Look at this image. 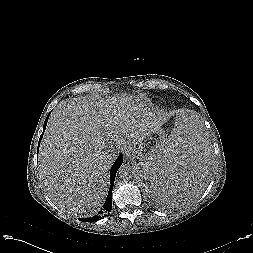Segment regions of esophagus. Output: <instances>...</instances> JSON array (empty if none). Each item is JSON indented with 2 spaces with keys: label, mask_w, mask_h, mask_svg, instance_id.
Returning <instances> with one entry per match:
<instances>
[{
  "label": "esophagus",
  "mask_w": 253,
  "mask_h": 253,
  "mask_svg": "<svg viewBox=\"0 0 253 253\" xmlns=\"http://www.w3.org/2000/svg\"><path fill=\"white\" fill-rule=\"evenodd\" d=\"M133 146L131 144H127L125 147H124V154L125 156L128 158L131 156V154L133 153Z\"/></svg>",
  "instance_id": "1"
}]
</instances>
